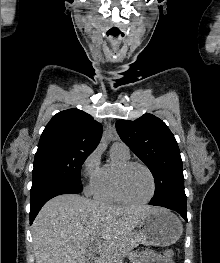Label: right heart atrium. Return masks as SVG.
Returning <instances> with one entry per match:
<instances>
[{
	"instance_id": "right-heart-atrium-1",
	"label": "right heart atrium",
	"mask_w": 220,
	"mask_h": 263,
	"mask_svg": "<svg viewBox=\"0 0 220 263\" xmlns=\"http://www.w3.org/2000/svg\"><path fill=\"white\" fill-rule=\"evenodd\" d=\"M100 170V151L95 149L86 157L82 165V178L88 193H93Z\"/></svg>"
}]
</instances>
